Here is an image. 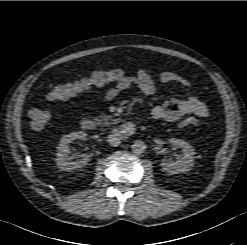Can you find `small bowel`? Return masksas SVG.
I'll return each instance as SVG.
<instances>
[{"label":"small bowel","instance_id":"c3829d8e","mask_svg":"<svg viewBox=\"0 0 247 245\" xmlns=\"http://www.w3.org/2000/svg\"><path fill=\"white\" fill-rule=\"evenodd\" d=\"M159 84H178L184 87H189L190 82L179 74L171 71L162 72L158 80H155L147 71L140 70L135 75L123 76L115 82L103 94L102 99L112 101L117 98L121 92L137 87L145 95H153L158 91ZM187 115L197 117H209L210 112L207 106L195 96H187L185 98H171L164 104L155 106L151 110V117L154 120H162L175 122Z\"/></svg>","mask_w":247,"mask_h":245}]
</instances>
